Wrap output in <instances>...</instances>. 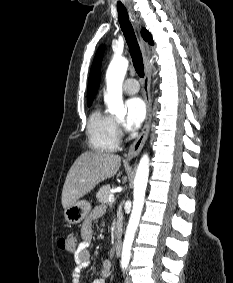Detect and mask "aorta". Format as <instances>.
<instances>
[{
    "instance_id": "1",
    "label": "aorta",
    "mask_w": 233,
    "mask_h": 283,
    "mask_svg": "<svg viewBox=\"0 0 233 283\" xmlns=\"http://www.w3.org/2000/svg\"><path fill=\"white\" fill-rule=\"evenodd\" d=\"M128 64L129 62L125 57H114L107 69V92L104 95V101L111 114L119 116L126 115L127 109L124 106L122 99V85L128 69ZM148 177L149 157L148 154H144L139 161L134 179L133 208L122 248L121 263L123 265H127L130 261L131 247L144 205Z\"/></svg>"
}]
</instances>
